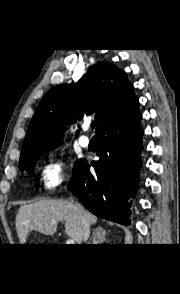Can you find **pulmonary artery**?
Instances as JSON below:
<instances>
[{"instance_id": "pulmonary-artery-1", "label": "pulmonary artery", "mask_w": 180, "mask_h": 294, "mask_svg": "<svg viewBox=\"0 0 180 294\" xmlns=\"http://www.w3.org/2000/svg\"><path fill=\"white\" fill-rule=\"evenodd\" d=\"M88 128H89V125H85V126H84V129H85V130H88ZM79 143H80V145H81L82 147H88L89 144H90V138L87 137V136H85V135H83V136H81V137L79 138Z\"/></svg>"}]
</instances>
